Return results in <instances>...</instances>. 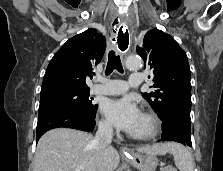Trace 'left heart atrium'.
<instances>
[{
  "label": "left heart atrium",
  "mask_w": 223,
  "mask_h": 171,
  "mask_svg": "<svg viewBox=\"0 0 223 171\" xmlns=\"http://www.w3.org/2000/svg\"><path fill=\"white\" fill-rule=\"evenodd\" d=\"M101 110L106 118L119 130L131 133L141 113L130 97L106 100Z\"/></svg>",
  "instance_id": "obj_1"
}]
</instances>
